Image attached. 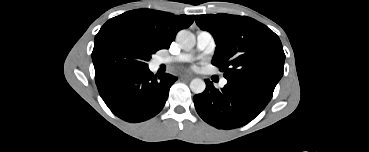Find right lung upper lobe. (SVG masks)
Returning <instances> with one entry per match:
<instances>
[{
  "instance_id": "cb5924a9",
  "label": "right lung upper lobe",
  "mask_w": 369,
  "mask_h": 152,
  "mask_svg": "<svg viewBox=\"0 0 369 152\" xmlns=\"http://www.w3.org/2000/svg\"><path fill=\"white\" fill-rule=\"evenodd\" d=\"M194 15H174L152 9H136L108 20L99 32H118L134 37L154 50L170 47L177 32L189 27Z\"/></svg>"
}]
</instances>
